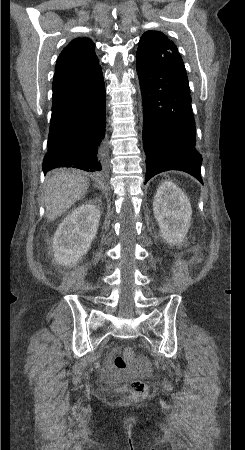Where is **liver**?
Listing matches in <instances>:
<instances>
[{
  "instance_id": "1",
  "label": "liver",
  "mask_w": 245,
  "mask_h": 450,
  "mask_svg": "<svg viewBox=\"0 0 245 450\" xmlns=\"http://www.w3.org/2000/svg\"><path fill=\"white\" fill-rule=\"evenodd\" d=\"M88 181L74 171L57 170L49 176L45 185L46 217L49 221L64 214L87 192Z\"/></svg>"
}]
</instances>
